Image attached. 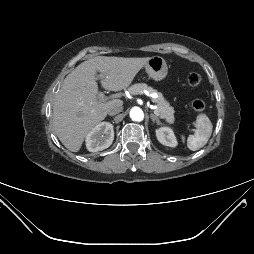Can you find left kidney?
Returning <instances> with one entry per match:
<instances>
[{"mask_svg":"<svg viewBox=\"0 0 254 254\" xmlns=\"http://www.w3.org/2000/svg\"><path fill=\"white\" fill-rule=\"evenodd\" d=\"M156 136L158 141L169 147H176L177 146V140L176 137L169 127H161L156 130Z\"/></svg>","mask_w":254,"mask_h":254,"instance_id":"left-kidney-1","label":"left kidney"}]
</instances>
